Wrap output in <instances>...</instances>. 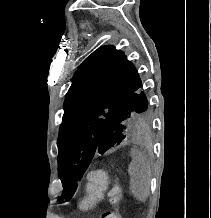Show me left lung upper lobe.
I'll return each mask as SVG.
<instances>
[{
	"label": "left lung upper lobe",
	"mask_w": 211,
	"mask_h": 218,
	"mask_svg": "<svg viewBox=\"0 0 211 218\" xmlns=\"http://www.w3.org/2000/svg\"><path fill=\"white\" fill-rule=\"evenodd\" d=\"M135 66L114 46L89 55L72 78L58 136L60 202L74 195L97 154L143 131L151 112Z\"/></svg>",
	"instance_id": "5c2ea615"
}]
</instances>
